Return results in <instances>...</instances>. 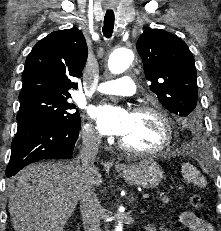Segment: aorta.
I'll return each instance as SVG.
<instances>
[{
  "mask_svg": "<svg viewBox=\"0 0 221 231\" xmlns=\"http://www.w3.org/2000/svg\"><path fill=\"white\" fill-rule=\"evenodd\" d=\"M134 59V54L130 49L117 48L109 56L108 68L113 74L123 73ZM114 231H123V225L118 222Z\"/></svg>",
  "mask_w": 221,
  "mask_h": 231,
  "instance_id": "aorta-1",
  "label": "aorta"
}]
</instances>
